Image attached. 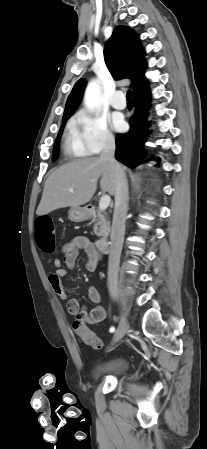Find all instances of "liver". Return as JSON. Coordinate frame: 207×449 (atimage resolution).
Returning <instances> with one entry per match:
<instances>
[{"label":"liver","instance_id":"liver-1","mask_svg":"<svg viewBox=\"0 0 207 449\" xmlns=\"http://www.w3.org/2000/svg\"><path fill=\"white\" fill-rule=\"evenodd\" d=\"M115 195L113 168L98 157L78 159L57 168L47 179L36 214L42 216L64 207L88 203L97 189Z\"/></svg>","mask_w":207,"mask_h":449}]
</instances>
